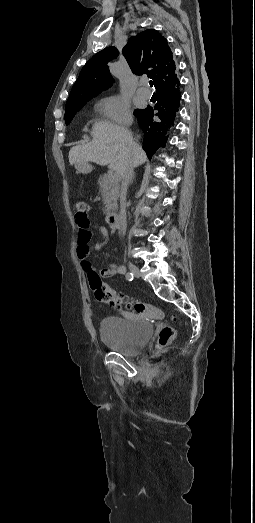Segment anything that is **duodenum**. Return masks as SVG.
Wrapping results in <instances>:
<instances>
[{
	"label": "duodenum",
	"mask_w": 255,
	"mask_h": 523,
	"mask_svg": "<svg viewBox=\"0 0 255 523\" xmlns=\"http://www.w3.org/2000/svg\"><path fill=\"white\" fill-rule=\"evenodd\" d=\"M107 224L112 228H118L120 226V217L117 213H110L106 217Z\"/></svg>",
	"instance_id": "obj_1"
}]
</instances>
